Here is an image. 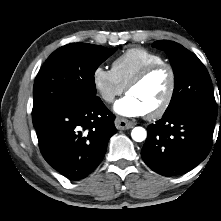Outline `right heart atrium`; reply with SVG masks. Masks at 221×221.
I'll list each match as a JSON object with an SVG mask.
<instances>
[{"mask_svg":"<svg viewBox=\"0 0 221 221\" xmlns=\"http://www.w3.org/2000/svg\"><path fill=\"white\" fill-rule=\"evenodd\" d=\"M92 82L97 94L106 103H112L125 89L117 80L112 70L102 66H98L94 69Z\"/></svg>","mask_w":221,"mask_h":221,"instance_id":"obj_1","label":"right heart atrium"}]
</instances>
